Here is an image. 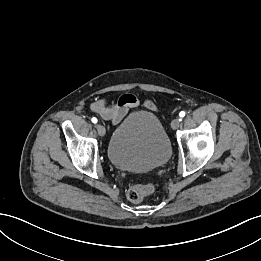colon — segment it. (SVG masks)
<instances>
[{"mask_svg": "<svg viewBox=\"0 0 261 261\" xmlns=\"http://www.w3.org/2000/svg\"><path fill=\"white\" fill-rule=\"evenodd\" d=\"M154 187L152 184H135L127 192V197L131 202H141L146 196L152 193Z\"/></svg>", "mask_w": 261, "mask_h": 261, "instance_id": "colon-1", "label": "colon"}]
</instances>
